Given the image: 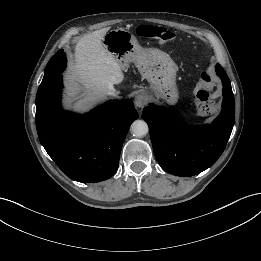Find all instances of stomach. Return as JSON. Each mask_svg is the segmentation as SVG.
<instances>
[{
	"label": "stomach",
	"instance_id": "obj_1",
	"mask_svg": "<svg viewBox=\"0 0 261 261\" xmlns=\"http://www.w3.org/2000/svg\"><path fill=\"white\" fill-rule=\"evenodd\" d=\"M104 47L122 68L134 63L140 74L150 83V97L168 104L178 100L177 66L171 57L155 48H143L136 37L125 29H113L103 37Z\"/></svg>",
	"mask_w": 261,
	"mask_h": 261
}]
</instances>
